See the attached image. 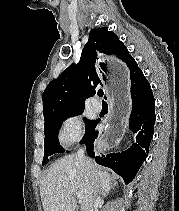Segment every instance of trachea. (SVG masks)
Returning a JSON list of instances; mask_svg holds the SVG:
<instances>
[{"label":"trachea","instance_id":"1","mask_svg":"<svg viewBox=\"0 0 179 211\" xmlns=\"http://www.w3.org/2000/svg\"><path fill=\"white\" fill-rule=\"evenodd\" d=\"M98 96H99V97H102V96H103V91H102V90H99V91H98Z\"/></svg>","mask_w":179,"mask_h":211}]
</instances>
